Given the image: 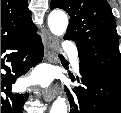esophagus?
Masks as SVG:
<instances>
[{"label": "esophagus", "mask_w": 121, "mask_h": 113, "mask_svg": "<svg viewBox=\"0 0 121 113\" xmlns=\"http://www.w3.org/2000/svg\"><path fill=\"white\" fill-rule=\"evenodd\" d=\"M45 58L49 62L53 61L55 55V40L49 33L45 36L44 42ZM59 88L58 84L55 83L51 88L47 89L43 94L44 100L46 102H51L58 94Z\"/></svg>", "instance_id": "esophagus-1"}]
</instances>
